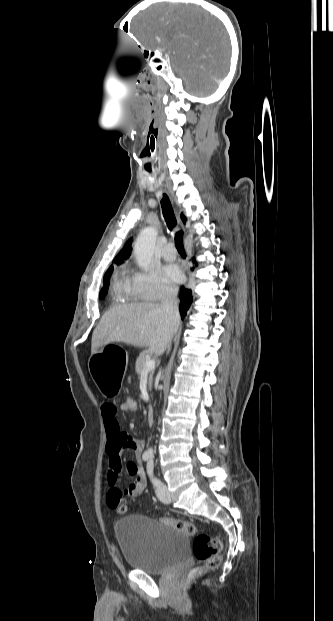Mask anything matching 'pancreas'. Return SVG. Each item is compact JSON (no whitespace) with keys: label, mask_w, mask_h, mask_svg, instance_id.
Returning a JSON list of instances; mask_svg holds the SVG:
<instances>
[{"label":"pancreas","mask_w":333,"mask_h":621,"mask_svg":"<svg viewBox=\"0 0 333 621\" xmlns=\"http://www.w3.org/2000/svg\"><path fill=\"white\" fill-rule=\"evenodd\" d=\"M148 360V353L147 352H143L141 353L137 360H136V365H135V371L137 375H141L144 367H145V363ZM153 373H154V369H152L151 371H149L148 374V380H149V389L151 390L152 388V378H153Z\"/></svg>","instance_id":"pancreas-1"}]
</instances>
